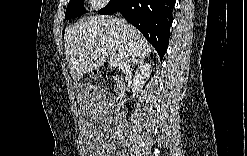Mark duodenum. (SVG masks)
I'll return each instance as SVG.
<instances>
[{
  "mask_svg": "<svg viewBox=\"0 0 247 156\" xmlns=\"http://www.w3.org/2000/svg\"><path fill=\"white\" fill-rule=\"evenodd\" d=\"M115 82H116V90H117L120 98L122 99V97L126 94V91H127L126 86L121 79H115Z\"/></svg>",
  "mask_w": 247,
  "mask_h": 156,
  "instance_id": "obj_1",
  "label": "duodenum"
}]
</instances>
